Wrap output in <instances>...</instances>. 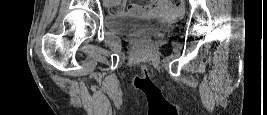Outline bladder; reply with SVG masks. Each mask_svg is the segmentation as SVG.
I'll use <instances>...</instances> for the list:
<instances>
[{
    "label": "bladder",
    "instance_id": "1",
    "mask_svg": "<svg viewBox=\"0 0 267 115\" xmlns=\"http://www.w3.org/2000/svg\"><path fill=\"white\" fill-rule=\"evenodd\" d=\"M157 19L158 16L152 14H107L105 16V26L115 34H131L145 30Z\"/></svg>",
    "mask_w": 267,
    "mask_h": 115
}]
</instances>
